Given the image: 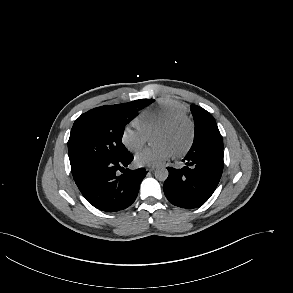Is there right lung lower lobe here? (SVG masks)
Returning <instances> with one entry per match:
<instances>
[{"instance_id":"98d812e1","label":"right lung lower lobe","mask_w":293,"mask_h":293,"mask_svg":"<svg viewBox=\"0 0 293 293\" xmlns=\"http://www.w3.org/2000/svg\"><path fill=\"white\" fill-rule=\"evenodd\" d=\"M132 160L133 155L128 152L123 156L98 162L73 178L91 205L106 212L120 211L135 201L147 173L144 168L124 170ZM118 170L124 173L119 176Z\"/></svg>"}]
</instances>
